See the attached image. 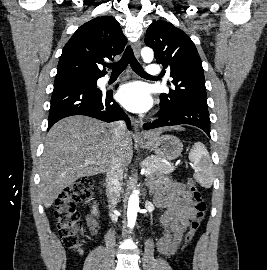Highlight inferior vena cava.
I'll use <instances>...</instances> for the list:
<instances>
[{
	"label": "inferior vena cava",
	"instance_id": "602c4592",
	"mask_svg": "<svg viewBox=\"0 0 267 270\" xmlns=\"http://www.w3.org/2000/svg\"><path fill=\"white\" fill-rule=\"evenodd\" d=\"M115 145L120 144V138L126 133V125L123 121L112 124ZM123 168L117 158H113L106 173V193L110 207L114 209L119 201L122 190Z\"/></svg>",
	"mask_w": 267,
	"mask_h": 270
}]
</instances>
